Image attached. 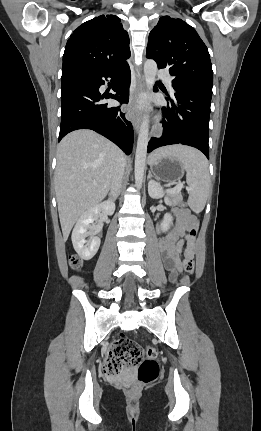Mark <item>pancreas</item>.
Segmentation results:
<instances>
[{"instance_id":"cf45deb5","label":"pancreas","mask_w":261,"mask_h":431,"mask_svg":"<svg viewBox=\"0 0 261 431\" xmlns=\"http://www.w3.org/2000/svg\"><path fill=\"white\" fill-rule=\"evenodd\" d=\"M168 193L170 197V202H169L170 205H177L180 202H182L183 197L180 191L173 192V193L168 192Z\"/></svg>"}]
</instances>
